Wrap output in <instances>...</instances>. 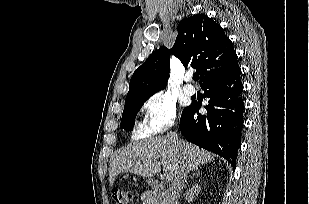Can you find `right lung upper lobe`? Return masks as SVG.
<instances>
[{"mask_svg":"<svg viewBox=\"0 0 309 204\" xmlns=\"http://www.w3.org/2000/svg\"><path fill=\"white\" fill-rule=\"evenodd\" d=\"M171 50L165 46L153 52L134 72L129 83L126 100L149 98L164 89L170 70V54L182 64L192 66L200 73L201 85L216 76L233 69L237 55L224 30L204 14L182 20Z\"/></svg>","mask_w":309,"mask_h":204,"instance_id":"1","label":"right lung upper lobe"}]
</instances>
